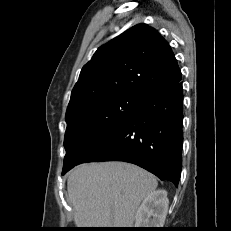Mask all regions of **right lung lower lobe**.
<instances>
[{
	"label": "right lung lower lobe",
	"instance_id": "98d812e1",
	"mask_svg": "<svg viewBox=\"0 0 231 231\" xmlns=\"http://www.w3.org/2000/svg\"><path fill=\"white\" fill-rule=\"evenodd\" d=\"M182 120L181 82L148 91L139 96L136 112L76 165L101 161L129 162L177 186L182 163Z\"/></svg>",
	"mask_w": 231,
	"mask_h": 231
}]
</instances>
